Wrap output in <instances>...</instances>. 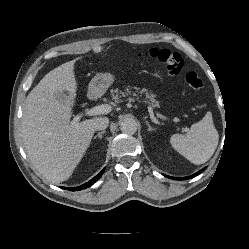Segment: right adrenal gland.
<instances>
[{
  "label": "right adrenal gland",
  "mask_w": 249,
  "mask_h": 249,
  "mask_svg": "<svg viewBox=\"0 0 249 249\" xmlns=\"http://www.w3.org/2000/svg\"><path fill=\"white\" fill-rule=\"evenodd\" d=\"M105 132H106L105 130L99 132V133L94 137V139H96L97 137H99V138L101 139V138H102V135H103Z\"/></svg>",
  "instance_id": "1"
}]
</instances>
